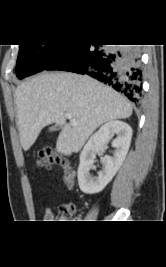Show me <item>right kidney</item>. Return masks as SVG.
<instances>
[{
    "instance_id": "1",
    "label": "right kidney",
    "mask_w": 166,
    "mask_h": 267,
    "mask_svg": "<svg viewBox=\"0 0 166 267\" xmlns=\"http://www.w3.org/2000/svg\"><path fill=\"white\" fill-rule=\"evenodd\" d=\"M116 134L112 146L115 148L113 157L101 158L103 168L97 176H91L89 171L94 163L95 155L107 148L109 136ZM132 138V128L125 122L112 120L105 123L95 132L80 153L78 167V184L80 190L86 194L102 191L112 180L125 160Z\"/></svg>"
}]
</instances>
